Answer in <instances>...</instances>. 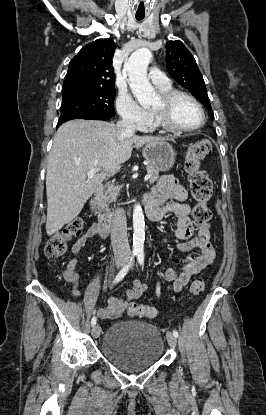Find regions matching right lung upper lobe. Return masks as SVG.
I'll return each instance as SVG.
<instances>
[{"instance_id": "right-lung-upper-lobe-1", "label": "right lung upper lobe", "mask_w": 266, "mask_h": 415, "mask_svg": "<svg viewBox=\"0 0 266 415\" xmlns=\"http://www.w3.org/2000/svg\"><path fill=\"white\" fill-rule=\"evenodd\" d=\"M114 51L112 38L98 39L84 46L69 63L62 92L81 88H113Z\"/></svg>"}]
</instances>
